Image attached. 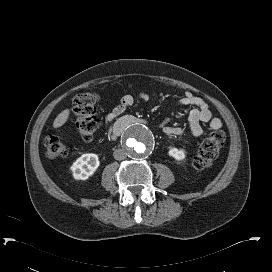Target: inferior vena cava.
Instances as JSON below:
<instances>
[{"mask_svg": "<svg viewBox=\"0 0 272 272\" xmlns=\"http://www.w3.org/2000/svg\"><path fill=\"white\" fill-rule=\"evenodd\" d=\"M114 159L116 160H124L126 158V153L122 149H116L113 153Z\"/></svg>", "mask_w": 272, "mask_h": 272, "instance_id": "602c4592", "label": "inferior vena cava"}]
</instances>
